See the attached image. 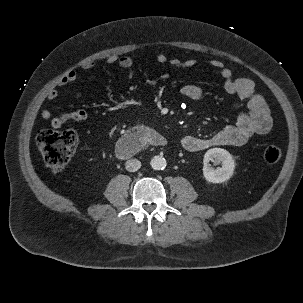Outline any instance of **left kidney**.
I'll use <instances>...</instances> for the list:
<instances>
[{"label":"left kidney","mask_w":303,"mask_h":303,"mask_svg":"<svg viewBox=\"0 0 303 303\" xmlns=\"http://www.w3.org/2000/svg\"><path fill=\"white\" fill-rule=\"evenodd\" d=\"M215 164L221 162L222 167L214 169L210 167L209 162ZM203 175L208 182L222 183L230 179L234 173L235 161L232 155L225 149L212 148L204 155Z\"/></svg>","instance_id":"1"}]
</instances>
